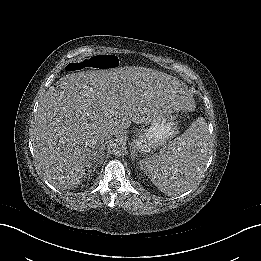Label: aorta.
Instances as JSON below:
<instances>
[{
	"instance_id": "1",
	"label": "aorta",
	"mask_w": 261,
	"mask_h": 261,
	"mask_svg": "<svg viewBox=\"0 0 261 261\" xmlns=\"http://www.w3.org/2000/svg\"><path fill=\"white\" fill-rule=\"evenodd\" d=\"M119 142H120V143L117 145V148H118V149H120V147L123 146V145H122V140H120ZM115 148H116V146H115ZM121 148H122V147H121ZM115 151H117V149H116Z\"/></svg>"
}]
</instances>
